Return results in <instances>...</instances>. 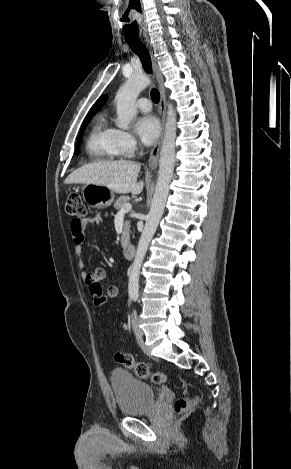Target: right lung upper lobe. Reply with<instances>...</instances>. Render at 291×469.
<instances>
[{
	"instance_id": "right-lung-upper-lobe-1",
	"label": "right lung upper lobe",
	"mask_w": 291,
	"mask_h": 469,
	"mask_svg": "<svg viewBox=\"0 0 291 469\" xmlns=\"http://www.w3.org/2000/svg\"><path fill=\"white\" fill-rule=\"evenodd\" d=\"M106 100H107L106 95L100 97L92 106V108L90 109L86 117L92 116L106 102Z\"/></svg>"
}]
</instances>
